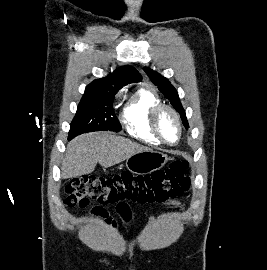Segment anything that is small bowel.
Masks as SVG:
<instances>
[{"label":"small bowel","instance_id":"1","mask_svg":"<svg viewBox=\"0 0 267 270\" xmlns=\"http://www.w3.org/2000/svg\"><path fill=\"white\" fill-rule=\"evenodd\" d=\"M166 205H170V206H175L178 208H183L181 202L178 199H173V200H169L165 203ZM117 213L119 214V216L124 220V221H129L132 217V212L131 209L129 207L128 204L121 202L117 205ZM92 214L99 218L102 219L107 225H114V220H112L109 217V214L107 213V211H105L103 208L101 207H96L93 209ZM148 223L149 224H153L154 223V217L153 216H148L147 217Z\"/></svg>","mask_w":267,"mask_h":270}]
</instances>
